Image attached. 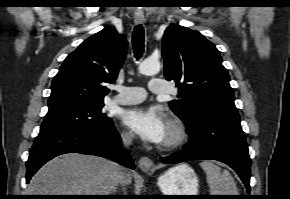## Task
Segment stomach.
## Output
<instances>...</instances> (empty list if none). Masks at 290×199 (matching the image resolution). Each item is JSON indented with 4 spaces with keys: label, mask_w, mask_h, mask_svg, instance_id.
<instances>
[{
    "label": "stomach",
    "mask_w": 290,
    "mask_h": 199,
    "mask_svg": "<svg viewBox=\"0 0 290 199\" xmlns=\"http://www.w3.org/2000/svg\"><path fill=\"white\" fill-rule=\"evenodd\" d=\"M158 185L164 195H197L199 186L197 175L187 164L169 169L159 177Z\"/></svg>",
    "instance_id": "1"
}]
</instances>
